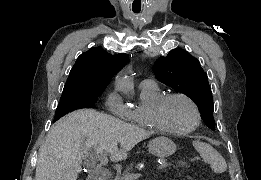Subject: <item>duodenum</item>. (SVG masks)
<instances>
[{
  "mask_svg": "<svg viewBox=\"0 0 261 180\" xmlns=\"http://www.w3.org/2000/svg\"><path fill=\"white\" fill-rule=\"evenodd\" d=\"M86 180H107L105 173H94L93 177H87Z\"/></svg>",
  "mask_w": 261,
  "mask_h": 180,
  "instance_id": "obj_1",
  "label": "duodenum"
}]
</instances>
